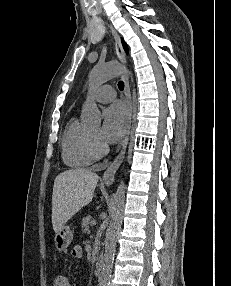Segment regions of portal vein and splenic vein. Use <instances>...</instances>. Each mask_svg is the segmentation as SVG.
I'll list each match as a JSON object with an SVG mask.
<instances>
[{
  "label": "portal vein and splenic vein",
  "instance_id": "obj_1",
  "mask_svg": "<svg viewBox=\"0 0 231 286\" xmlns=\"http://www.w3.org/2000/svg\"><path fill=\"white\" fill-rule=\"evenodd\" d=\"M96 225V221L95 220H92L91 221V226H95Z\"/></svg>",
  "mask_w": 231,
  "mask_h": 286
}]
</instances>
